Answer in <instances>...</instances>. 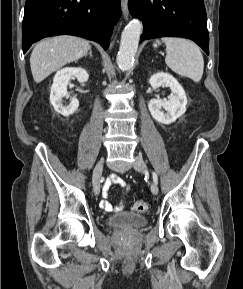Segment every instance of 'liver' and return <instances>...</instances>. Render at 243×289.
I'll return each instance as SVG.
<instances>
[{
    "mask_svg": "<svg viewBox=\"0 0 243 289\" xmlns=\"http://www.w3.org/2000/svg\"><path fill=\"white\" fill-rule=\"evenodd\" d=\"M89 41L80 37L61 35L39 42L30 56L33 79L40 83L54 71L88 53Z\"/></svg>",
    "mask_w": 243,
    "mask_h": 289,
    "instance_id": "obj_1",
    "label": "liver"
}]
</instances>
